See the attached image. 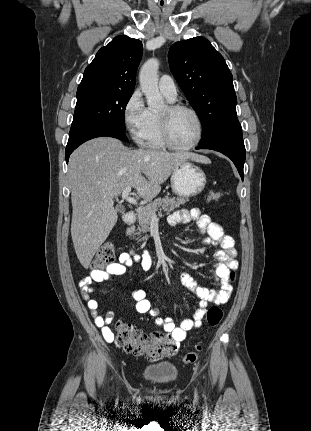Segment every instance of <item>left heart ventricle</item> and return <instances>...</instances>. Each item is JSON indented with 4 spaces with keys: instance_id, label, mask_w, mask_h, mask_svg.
Returning <instances> with one entry per match:
<instances>
[{
    "instance_id": "obj_1",
    "label": "left heart ventricle",
    "mask_w": 311,
    "mask_h": 431,
    "mask_svg": "<svg viewBox=\"0 0 311 431\" xmlns=\"http://www.w3.org/2000/svg\"><path fill=\"white\" fill-rule=\"evenodd\" d=\"M199 131V122L192 113L181 111L173 118L172 135L177 144L186 146L193 143L197 139Z\"/></svg>"
}]
</instances>
